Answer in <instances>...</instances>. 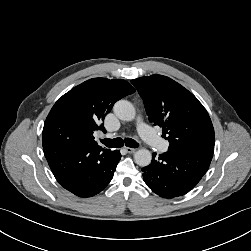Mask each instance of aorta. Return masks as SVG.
I'll return each mask as SVG.
<instances>
[{
  "label": "aorta",
  "instance_id": "obj_1",
  "mask_svg": "<svg viewBox=\"0 0 251 251\" xmlns=\"http://www.w3.org/2000/svg\"><path fill=\"white\" fill-rule=\"evenodd\" d=\"M114 114L123 121H132L135 118L136 111L131 102L119 100L114 104ZM135 163L141 167L148 166L152 160V154L147 149H139L134 155Z\"/></svg>",
  "mask_w": 251,
  "mask_h": 251
}]
</instances>
